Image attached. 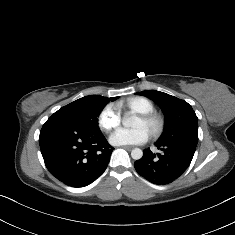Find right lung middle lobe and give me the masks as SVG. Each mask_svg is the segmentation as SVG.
Wrapping results in <instances>:
<instances>
[{
    "label": "right lung middle lobe",
    "instance_id": "1",
    "mask_svg": "<svg viewBox=\"0 0 235 235\" xmlns=\"http://www.w3.org/2000/svg\"><path fill=\"white\" fill-rule=\"evenodd\" d=\"M117 98L118 97H112L107 99L104 103L92 105L83 97L60 108L51 116V118L66 119L87 129L100 130L97 117L109 101H114Z\"/></svg>",
    "mask_w": 235,
    "mask_h": 235
}]
</instances>
